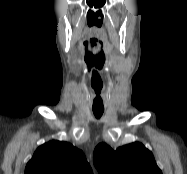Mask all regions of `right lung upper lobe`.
<instances>
[{"label": "right lung upper lobe", "instance_id": "right-lung-upper-lobe-1", "mask_svg": "<svg viewBox=\"0 0 187 174\" xmlns=\"http://www.w3.org/2000/svg\"><path fill=\"white\" fill-rule=\"evenodd\" d=\"M25 174H93L83 152L67 142L41 145L27 163Z\"/></svg>", "mask_w": 187, "mask_h": 174}]
</instances>
